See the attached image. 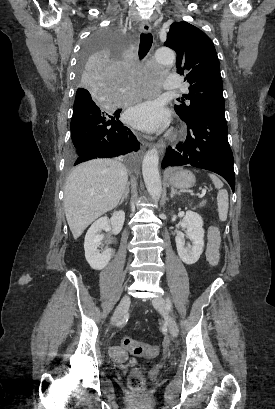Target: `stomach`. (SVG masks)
I'll use <instances>...</instances> for the list:
<instances>
[{
    "label": "stomach",
    "instance_id": "1",
    "mask_svg": "<svg viewBox=\"0 0 275 409\" xmlns=\"http://www.w3.org/2000/svg\"><path fill=\"white\" fill-rule=\"evenodd\" d=\"M195 182V176L190 170H174L169 176V184L176 188H191Z\"/></svg>",
    "mask_w": 275,
    "mask_h": 409
}]
</instances>
